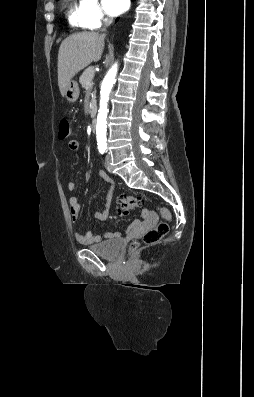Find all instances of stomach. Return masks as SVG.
<instances>
[{
	"label": "stomach",
	"instance_id": "1",
	"mask_svg": "<svg viewBox=\"0 0 254 397\" xmlns=\"http://www.w3.org/2000/svg\"><path fill=\"white\" fill-rule=\"evenodd\" d=\"M80 89L77 81L71 80L65 90L64 97L70 103H74L79 97Z\"/></svg>",
	"mask_w": 254,
	"mask_h": 397
}]
</instances>
